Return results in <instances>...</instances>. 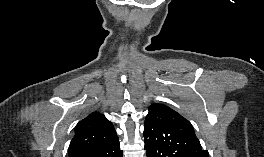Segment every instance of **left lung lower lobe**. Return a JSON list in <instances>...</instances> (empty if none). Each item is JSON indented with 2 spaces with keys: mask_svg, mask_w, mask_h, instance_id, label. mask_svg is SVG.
I'll use <instances>...</instances> for the list:
<instances>
[{
  "mask_svg": "<svg viewBox=\"0 0 264 157\" xmlns=\"http://www.w3.org/2000/svg\"><path fill=\"white\" fill-rule=\"evenodd\" d=\"M144 149L147 151V157H159L158 152L155 149L148 146H145Z\"/></svg>",
  "mask_w": 264,
  "mask_h": 157,
  "instance_id": "obj_1",
  "label": "left lung lower lobe"
}]
</instances>
